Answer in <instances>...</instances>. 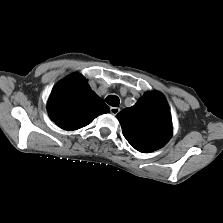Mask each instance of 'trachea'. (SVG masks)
I'll list each match as a JSON object with an SVG mask.
<instances>
[{
	"label": "trachea",
	"instance_id": "1",
	"mask_svg": "<svg viewBox=\"0 0 223 223\" xmlns=\"http://www.w3.org/2000/svg\"><path fill=\"white\" fill-rule=\"evenodd\" d=\"M106 103L110 106H113V107H118L119 106V103H120V100L117 96L115 95H109L106 97L105 99Z\"/></svg>",
	"mask_w": 223,
	"mask_h": 223
}]
</instances>
